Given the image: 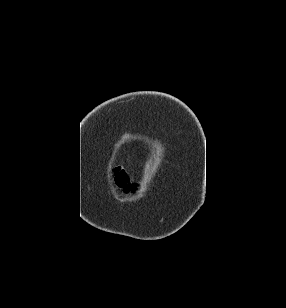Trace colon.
<instances>
[{"label":"colon","mask_w":286,"mask_h":308,"mask_svg":"<svg viewBox=\"0 0 286 308\" xmlns=\"http://www.w3.org/2000/svg\"><path fill=\"white\" fill-rule=\"evenodd\" d=\"M112 176L116 184L123 190L130 192L135 189V185L130 181L128 175L121 169H114Z\"/></svg>","instance_id":"5ec220e1"}]
</instances>
